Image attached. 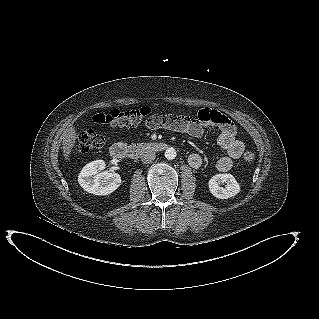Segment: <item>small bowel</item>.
<instances>
[{"mask_svg": "<svg viewBox=\"0 0 319 319\" xmlns=\"http://www.w3.org/2000/svg\"><path fill=\"white\" fill-rule=\"evenodd\" d=\"M93 121L103 123L101 114L93 116ZM145 125L151 129H169L193 138L202 137L207 127H214L218 131L217 143L225 151V156L216 163L217 169L222 172L230 170L245 149L244 143L237 138V129L232 121L214 109L204 108L198 112L197 117L172 113L154 116ZM188 164L197 169L202 165V157L198 153H192L188 157Z\"/></svg>", "mask_w": 319, "mask_h": 319, "instance_id": "c3829d8e", "label": "small bowel"}]
</instances>
